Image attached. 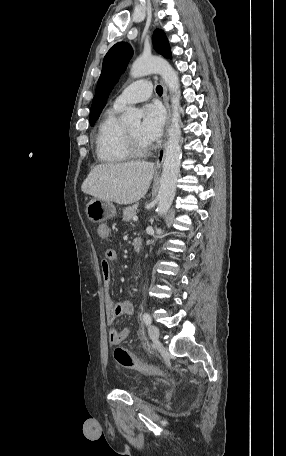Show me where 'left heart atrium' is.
Masks as SVG:
<instances>
[{
	"label": "left heart atrium",
	"mask_w": 286,
	"mask_h": 456,
	"mask_svg": "<svg viewBox=\"0 0 286 456\" xmlns=\"http://www.w3.org/2000/svg\"><path fill=\"white\" fill-rule=\"evenodd\" d=\"M165 123V112L157 103L147 104L143 108V121L140 125V136L149 144L162 134Z\"/></svg>",
	"instance_id": "39dd6f15"
}]
</instances>
